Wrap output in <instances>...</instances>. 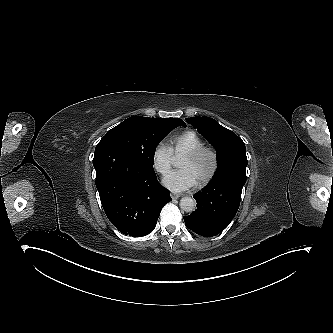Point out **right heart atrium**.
Instances as JSON below:
<instances>
[{"label": "right heart atrium", "mask_w": 333, "mask_h": 333, "mask_svg": "<svg viewBox=\"0 0 333 333\" xmlns=\"http://www.w3.org/2000/svg\"><path fill=\"white\" fill-rule=\"evenodd\" d=\"M154 168L161 174H165L174 166V158L167 147L159 146L154 151Z\"/></svg>", "instance_id": "1"}]
</instances>
